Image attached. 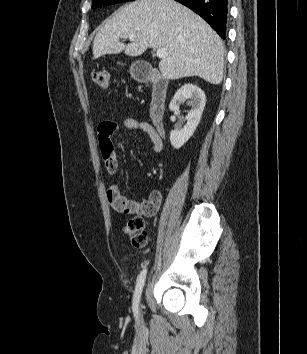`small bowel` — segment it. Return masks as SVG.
<instances>
[{"instance_id":"1","label":"small bowel","mask_w":307,"mask_h":354,"mask_svg":"<svg viewBox=\"0 0 307 354\" xmlns=\"http://www.w3.org/2000/svg\"><path fill=\"white\" fill-rule=\"evenodd\" d=\"M123 126L129 130H138L148 136L153 145V152L159 154L163 150L162 135L157 129L146 121L134 118L123 120ZM119 126L111 120L103 121L98 126V139L101 154L105 167L110 174H115L118 170V158L112 143V135L118 130ZM105 144L102 146L101 142ZM107 198L114 209L126 210L127 213H138L145 216L154 215L161 203V193L157 190L151 191L147 200L138 203L121 195L117 185H112L107 190Z\"/></svg>"}]
</instances>
